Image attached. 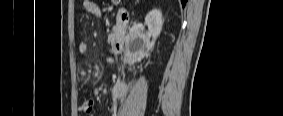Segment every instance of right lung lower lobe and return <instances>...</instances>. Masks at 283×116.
<instances>
[{
    "mask_svg": "<svg viewBox=\"0 0 283 116\" xmlns=\"http://www.w3.org/2000/svg\"><path fill=\"white\" fill-rule=\"evenodd\" d=\"M186 1H187V0H181L183 7H184V5L186 4Z\"/></svg>",
    "mask_w": 283,
    "mask_h": 116,
    "instance_id": "98d812e1",
    "label": "right lung lower lobe"
}]
</instances>
